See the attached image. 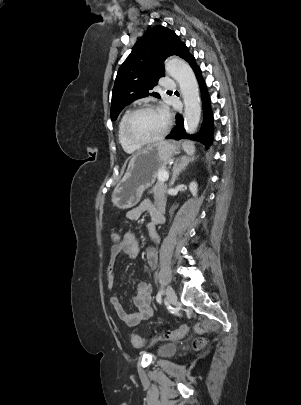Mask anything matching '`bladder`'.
I'll use <instances>...</instances> for the list:
<instances>
[{"label":"bladder","instance_id":"1","mask_svg":"<svg viewBox=\"0 0 301 405\" xmlns=\"http://www.w3.org/2000/svg\"><path fill=\"white\" fill-rule=\"evenodd\" d=\"M174 351V346L170 344L162 345L159 348V352L161 355H169Z\"/></svg>","mask_w":301,"mask_h":405}]
</instances>
